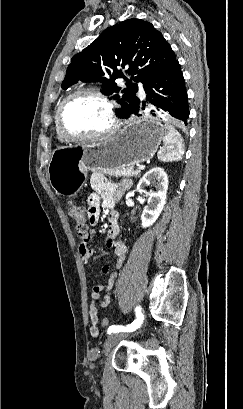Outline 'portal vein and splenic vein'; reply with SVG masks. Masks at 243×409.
Masks as SVG:
<instances>
[{"label":"portal vein and splenic vein","instance_id":"obj_1","mask_svg":"<svg viewBox=\"0 0 243 409\" xmlns=\"http://www.w3.org/2000/svg\"><path fill=\"white\" fill-rule=\"evenodd\" d=\"M138 169H139V170H143V169H145V166H144V165H139V166H138Z\"/></svg>","mask_w":243,"mask_h":409}]
</instances>
